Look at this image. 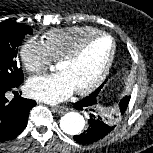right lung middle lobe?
<instances>
[{
	"instance_id": "1",
	"label": "right lung middle lobe",
	"mask_w": 153,
	"mask_h": 153,
	"mask_svg": "<svg viewBox=\"0 0 153 153\" xmlns=\"http://www.w3.org/2000/svg\"><path fill=\"white\" fill-rule=\"evenodd\" d=\"M32 29L15 22L0 24V84L17 86L23 81V72L17 65L18 47Z\"/></svg>"
}]
</instances>
